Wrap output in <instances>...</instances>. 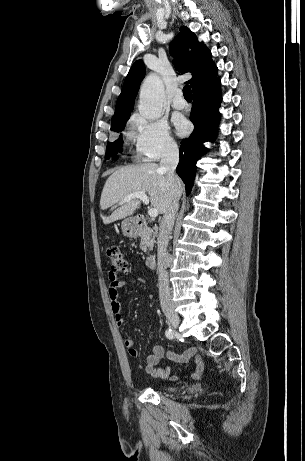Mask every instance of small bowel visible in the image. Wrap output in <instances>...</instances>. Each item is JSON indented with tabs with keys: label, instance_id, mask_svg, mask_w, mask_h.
Segmentation results:
<instances>
[{
	"label": "small bowel",
	"instance_id": "1",
	"mask_svg": "<svg viewBox=\"0 0 305 461\" xmlns=\"http://www.w3.org/2000/svg\"><path fill=\"white\" fill-rule=\"evenodd\" d=\"M137 279L140 281H143L142 276H137ZM108 296L111 302V311L114 316V320L117 325H123L125 322V317L122 313L121 310V304L118 300L119 298V290L121 288H124L127 286V283L125 281L119 280L117 276L112 274L111 272L108 275ZM124 346L126 347L128 353L132 357H136L138 352L135 348V340L132 337H126L124 339ZM166 352L163 346L159 344H155L152 347V353L149 354L145 358V363H144V371L146 374L156 377V378H170L172 380H177L179 378H186L189 375L188 374H181L180 376H175L171 375V371L169 368H158V364L161 361L162 358H164ZM195 357V366L193 368V371L191 372L190 376L192 378H199L202 370H203V362L201 360V357L196 355V350L194 348H190L187 351H185L183 354L178 355L172 351H169L167 353V357L170 360H173L175 362L179 363H184L187 362L191 357Z\"/></svg>",
	"mask_w": 305,
	"mask_h": 461
}]
</instances>
